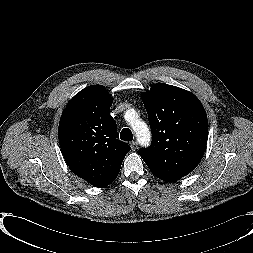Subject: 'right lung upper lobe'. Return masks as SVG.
Returning <instances> with one entry per match:
<instances>
[{
    "mask_svg": "<svg viewBox=\"0 0 253 253\" xmlns=\"http://www.w3.org/2000/svg\"><path fill=\"white\" fill-rule=\"evenodd\" d=\"M112 103L103 86H89L70 100L59 122V143L66 163L95 187H105L116 179L130 150L117 139V125L110 115Z\"/></svg>",
    "mask_w": 253,
    "mask_h": 253,
    "instance_id": "cb5924a9",
    "label": "right lung upper lobe"
}]
</instances>
